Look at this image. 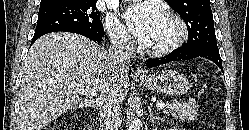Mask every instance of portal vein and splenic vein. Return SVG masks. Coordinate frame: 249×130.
I'll return each mask as SVG.
<instances>
[{"label":"portal vein and splenic vein","mask_w":249,"mask_h":130,"mask_svg":"<svg viewBox=\"0 0 249 130\" xmlns=\"http://www.w3.org/2000/svg\"><path fill=\"white\" fill-rule=\"evenodd\" d=\"M77 90L80 92V93H82V94H92V90L90 89V88H88V87H83V86H78L77 87ZM166 107V104H164V103H157L156 104V108H157V110H162V109H164Z\"/></svg>","instance_id":"18ae733b"}]
</instances>
